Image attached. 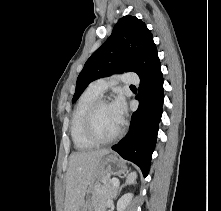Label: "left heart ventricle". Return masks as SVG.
Wrapping results in <instances>:
<instances>
[{
  "instance_id": "obj_1",
  "label": "left heart ventricle",
  "mask_w": 221,
  "mask_h": 211,
  "mask_svg": "<svg viewBox=\"0 0 221 211\" xmlns=\"http://www.w3.org/2000/svg\"><path fill=\"white\" fill-rule=\"evenodd\" d=\"M121 123L113 112L109 103L101 105L95 115L94 127L98 136L108 138L114 135Z\"/></svg>"
}]
</instances>
